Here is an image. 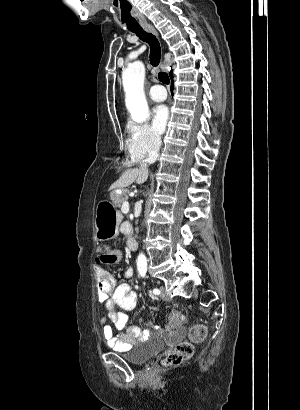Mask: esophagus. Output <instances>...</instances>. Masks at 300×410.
<instances>
[{
  "label": "esophagus",
  "instance_id": "1",
  "mask_svg": "<svg viewBox=\"0 0 300 410\" xmlns=\"http://www.w3.org/2000/svg\"><path fill=\"white\" fill-rule=\"evenodd\" d=\"M144 28L146 31L151 32L152 34L158 37V32L156 31L153 25L149 24V25H146Z\"/></svg>",
  "mask_w": 300,
  "mask_h": 410
}]
</instances>
